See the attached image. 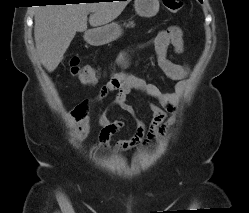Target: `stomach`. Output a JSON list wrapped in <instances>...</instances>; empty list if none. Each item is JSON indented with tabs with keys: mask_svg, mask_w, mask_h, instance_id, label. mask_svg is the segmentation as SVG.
Instances as JSON below:
<instances>
[{
	"mask_svg": "<svg viewBox=\"0 0 249 213\" xmlns=\"http://www.w3.org/2000/svg\"><path fill=\"white\" fill-rule=\"evenodd\" d=\"M159 0H135L136 13L141 17H153L159 11ZM122 35L121 26L112 22L92 29L85 34L86 41L93 46H101L115 41Z\"/></svg>",
	"mask_w": 249,
	"mask_h": 213,
	"instance_id": "obj_1",
	"label": "stomach"
}]
</instances>
